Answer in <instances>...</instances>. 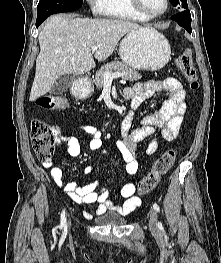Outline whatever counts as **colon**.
Wrapping results in <instances>:
<instances>
[{
  "instance_id": "obj_1",
  "label": "colon",
  "mask_w": 221,
  "mask_h": 263,
  "mask_svg": "<svg viewBox=\"0 0 221 263\" xmlns=\"http://www.w3.org/2000/svg\"><path fill=\"white\" fill-rule=\"evenodd\" d=\"M176 65L190 85V88H198L197 72L194 67L191 53L183 51L177 57ZM39 108L52 111H61L68 108V101L61 95H44L36 100ZM60 139L59 131L52 125L34 120L31 124V142L33 150L40 160L48 161L54 151V144ZM175 152L167 150L154 162L151 170L139 182L137 191L140 195H145L152 191L159 183L162 176L170 169L174 160Z\"/></svg>"
}]
</instances>
